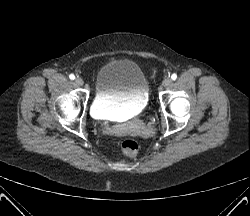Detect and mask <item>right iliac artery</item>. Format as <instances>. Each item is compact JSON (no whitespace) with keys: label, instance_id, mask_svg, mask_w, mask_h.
I'll return each mask as SVG.
<instances>
[{"label":"right iliac artery","instance_id":"1","mask_svg":"<svg viewBox=\"0 0 250 216\" xmlns=\"http://www.w3.org/2000/svg\"><path fill=\"white\" fill-rule=\"evenodd\" d=\"M69 78H70L71 80H74V79H75V76H74L73 74H70Z\"/></svg>","mask_w":250,"mask_h":216}]
</instances>
